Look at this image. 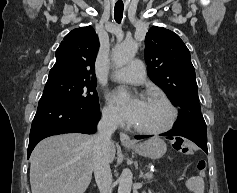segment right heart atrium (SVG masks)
Returning <instances> with one entry per match:
<instances>
[{
  "mask_svg": "<svg viewBox=\"0 0 237 193\" xmlns=\"http://www.w3.org/2000/svg\"><path fill=\"white\" fill-rule=\"evenodd\" d=\"M103 120L112 126H118L122 123V119L118 111L111 105H106L102 109Z\"/></svg>",
  "mask_w": 237,
  "mask_h": 193,
  "instance_id": "obj_1",
  "label": "right heart atrium"
}]
</instances>
